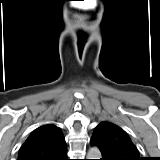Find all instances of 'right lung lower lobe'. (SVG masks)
Here are the masks:
<instances>
[{"label":"right lung lower lobe","mask_w":160,"mask_h":160,"mask_svg":"<svg viewBox=\"0 0 160 160\" xmlns=\"http://www.w3.org/2000/svg\"><path fill=\"white\" fill-rule=\"evenodd\" d=\"M58 160H68L67 159V151L64 153L62 157H60Z\"/></svg>","instance_id":"right-lung-lower-lobe-1"}]
</instances>
